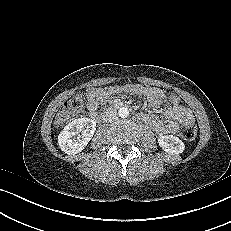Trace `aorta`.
Instances as JSON below:
<instances>
[{
  "mask_svg": "<svg viewBox=\"0 0 231 231\" xmlns=\"http://www.w3.org/2000/svg\"><path fill=\"white\" fill-rule=\"evenodd\" d=\"M118 114L121 118H126L129 115V110L125 107L119 109Z\"/></svg>",
  "mask_w": 231,
  "mask_h": 231,
  "instance_id": "obj_1",
  "label": "aorta"
}]
</instances>
